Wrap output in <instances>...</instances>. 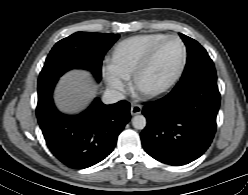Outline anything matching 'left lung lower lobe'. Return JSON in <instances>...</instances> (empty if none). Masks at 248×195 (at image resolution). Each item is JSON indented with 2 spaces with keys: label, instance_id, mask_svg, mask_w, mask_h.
Here are the masks:
<instances>
[{
  "label": "left lung lower lobe",
  "instance_id": "0a47b994",
  "mask_svg": "<svg viewBox=\"0 0 248 195\" xmlns=\"http://www.w3.org/2000/svg\"><path fill=\"white\" fill-rule=\"evenodd\" d=\"M220 105L217 80L178 84L165 97L145 105L144 150L170 165L188 164L210 146Z\"/></svg>",
  "mask_w": 248,
  "mask_h": 195
}]
</instances>
